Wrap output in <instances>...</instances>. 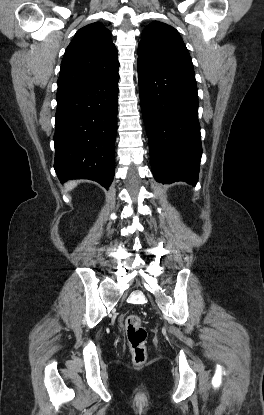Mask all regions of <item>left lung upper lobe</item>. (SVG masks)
<instances>
[{"mask_svg":"<svg viewBox=\"0 0 264 415\" xmlns=\"http://www.w3.org/2000/svg\"><path fill=\"white\" fill-rule=\"evenodd\" d=\"M165 71L194 75L189 52L178 31L153 21L142 32L138 60Z\"/></svg>","mask_w":264,"mask_h":415,"instance_id":"5c2ea615","label":"left lung upper lobe"}]
</instances>
